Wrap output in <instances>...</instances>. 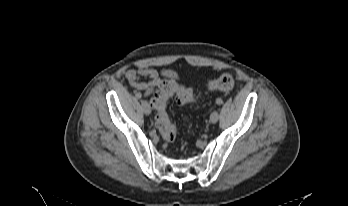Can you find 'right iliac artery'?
I'll use <instances>...</instances> for the list:
<instances>
[{
    "label": "right iliac artery",
    "instance_id": "obj_1",
    "mask_svg": "<svg viewBox=\"0 0 348 206\" xmlns=\"http://www.w3.org/2000/svg\"><path fill=\"white\" fill-rule=\"evenodd\" d=\"M136 97H137L138 99H140V98L142 97V94H141V93H137V94H136Z\"/></svg>",
    "mask_w": 348,
    "mask_h": 206
}]
</instances>
